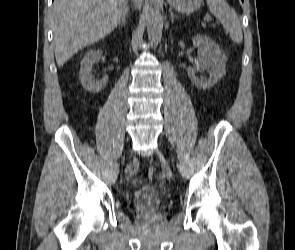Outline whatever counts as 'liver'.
Segmentation results:
<instances>
[{
    "instance_id": "1",
    "label": "liver",
    "mask_w": 295,
    "mask_h": 250,
    "mask_svg": "<svg viewBox=\"0 0 295 250\" xmlns=\"http://www.w3.org/2000/svg\"><path fill=\"white\" fill-rule=\"evenodd\" d=\"M126 0H55L53 42L62 67L78 50L109 35L119 23ZM142 0L137 6L141 7Z\"/></svg>"
}]
</instances>
